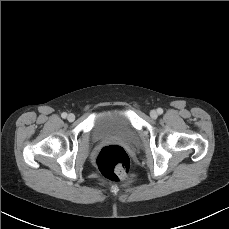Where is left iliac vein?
I'll use <instances>...</instances> for the list:
<instances>
[{
	"label": "left iliac vein",
	"mask_w": 229,
	"mask_h": 229,
	"mask_svg": "<svg viewBox=\"0 0 229 229\" xmlns=\"http://www.w3.org/2000/svg\"><path fill=\"white\" fill-rule=\"evenodd\" d=\"M150 116H151V118L156 119L157 116H158V114H157V112H156L155 110H152V111L150 112Z\"/></svg>",
	"instance_id": "1"
}]
</instances>
